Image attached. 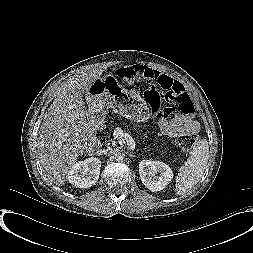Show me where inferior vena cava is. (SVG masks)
<instances>
[{
    "label": "inferior vena cava",
    "instance_id": "602c4592",
    "mask_svg": "<svg viewBox=\"0 0 253 253\" xmlns=\"http://www.w3.org/2000/svg\"><path fill=\"white\" fill-rule=\"evenodd\" d=\"M104 152L107 154V153H111L112 152V149L111 148H107L106 150H104Z\"/></svg>",
    "mask_w": 253,
    "mask_h": 253
}]
</instances>
